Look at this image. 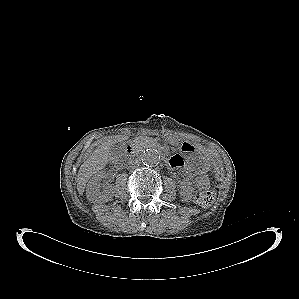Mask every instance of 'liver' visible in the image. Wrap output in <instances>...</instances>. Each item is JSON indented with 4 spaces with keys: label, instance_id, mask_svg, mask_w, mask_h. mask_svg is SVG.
Masks as SVG:
<instances>
[{
    "label": "liver",
    "instance_id": "liver-1",
    "mask_svg": "<svg viewBox=\"0 0 299 299\" xmlns=\"http://www.w3.org/2000/svg\"><path fill=\"white\" fill-rule=\"evenodd\" d=\"M127 136L116 135L103 139L102 143L96 148L87 160L80 166L77 176V190L80 194L84 192L86 183L92 175L103 169L109 162L111 156L110 150L114 144L126 140ZM117 155V154H115ZM114 155V156H115Z\"/></svg>",
    "mask_w": 299,
    "mask_h": 299
}]
</instances>
